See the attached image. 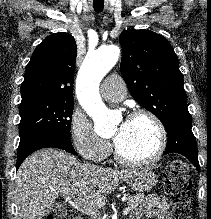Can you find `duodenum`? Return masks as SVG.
Masks as SVG:
<instances>
[{
	"label": "duodenum",
	"mask_w": 211,
	"mask_h": 219,
	"mask_svg": "<svg viewBox=\"0 0 211 219\" xmlns=\"http://www.w3.org/2000/svg\"><path fill=\"white\" fill-rule=\"evenodd\" d=\"M70 218H72V219H81V218H79V217H77V216L70 217Z\"/></svg>",
	"instance_id": "obj_1"
}]
</instances>
